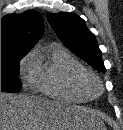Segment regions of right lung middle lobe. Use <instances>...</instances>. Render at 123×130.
Masks as SVG:
<instances>
[{
    "mask_svg": "<svg viewBox=\"0 0 123 130\" xmlns=\"http://www.w3.org/2000/svg\"><path fill=\"white\" fill-rule=\"evenodd\" d=\"M26 53L1 56V91L18 92L21 83L18 79L19 62Z\"/></svg>",
    "mask_w": 123,
    "mask_h": 130,
    "instance_id": "right-lung-middle-lobe-1",
    "label": "right lung middle lobe"
}]
</instances>
